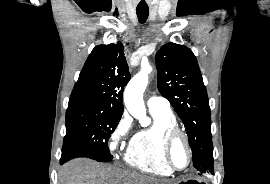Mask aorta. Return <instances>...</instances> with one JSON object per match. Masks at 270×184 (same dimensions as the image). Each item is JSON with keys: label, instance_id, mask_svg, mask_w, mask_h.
I'll list each match as a JSON object with an SVG mask.
<instances>
[{"label": "aorta", "instance_id": "obj_1", "mask_svg": "<svg viewBox=\"0 0 270 184\" xmlns=\"http://www.w3.org/2000/svg\"><path fill=\"white\" fill-rule=\"evenodd\" d=\"M150 65H142L141 70L130 80L124 91V103L129 113L138 119L142 126H147L150 120L146 117L143 93L148 84Z\"/></svg>", "mask_w": 270, "mask_h": 184}]
</instances>
